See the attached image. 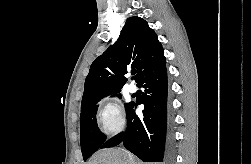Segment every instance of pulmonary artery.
Wrapping results in <instances>:
<instances>
[{"mask_svg":"<svg viewBox=\"0 0 251 164\" xmlns=\"http://www.w3.org/2000/svg\"><path fill=\"white\" fill-rule=\"evenodd\" d=\"M127 90L130 92V93H135L137 91V87L134 83H130L128 86H127Z\"/></svg>","mask_w":251,"mask_h":164,"instance_id":"e3ab8cb5","label":"pulmonary artery"}]
</instances>
